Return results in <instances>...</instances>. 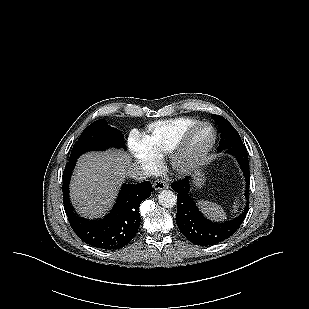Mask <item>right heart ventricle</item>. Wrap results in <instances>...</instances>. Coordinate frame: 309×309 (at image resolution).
Here are the masks:
<instances>
[{
    "mask_svg": "<svg viewBox=\"0 0 309 309\" xmlns=\"http://www.w3.org/2000/svg\"><path fill=\"white\" fill-rule=\"evenodd\" d=\"M193 118H174L151 123L138 138L139 143L155 158L169 154L186 131L195 123Z\"/></svg>",
    "mask_w": 309,
    "mask_h": 309,
    "instance_id": "obj_1",
    "label": "right heart ventricle"
}]
</instances>
